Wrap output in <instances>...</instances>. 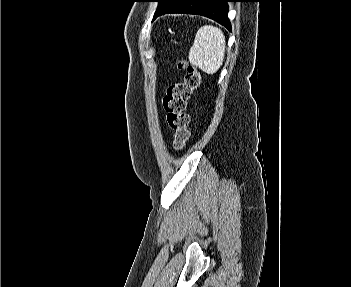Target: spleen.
<instances>
[{
    "mask_svg": "<svg viewBox=\"0 0 351 287\" xmlns=\"http://www.w3.org/2000/svg\"><path fill=\"white\" fill-rule=\"evenodd\" d=\"M226 41L221 29L212 25L201 27L189 51V62L208 74L216 73L225 57Z\"/></svg>",
    "mask_w": 351,
    "mask_h": 287,
    "instance_id": "1",
    "label": "spleen"
}]
</instances>
